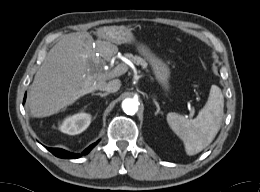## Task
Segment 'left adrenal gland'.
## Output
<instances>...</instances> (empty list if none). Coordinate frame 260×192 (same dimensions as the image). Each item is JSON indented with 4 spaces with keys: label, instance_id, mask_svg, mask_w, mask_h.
<instances>
[{
    "label": "left adrenal gland",
    "instance_id": "a2214340",
    "mask_svg": "<svg viewBox=\"0 0 260 192\" xmlns=\"http://www.w3.org/2000/svg\"><path fill=\"white\" fill-rule=\"evenodd\" d=\"M155 105H156V107H157V111L155 112V115H157V114H162V112L160 111V106H159V104L155 101Z\"/></svg>",
    "mask_w": 260,
    "mask_h": 192
}]
</instances>
